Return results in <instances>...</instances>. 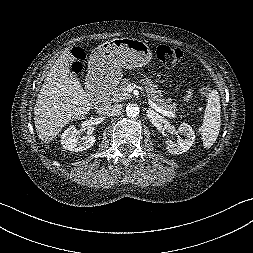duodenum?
I'll use <instances>...</instances> for the list:
<instances>
[{
    "label": "duodenum",
    "mask_w": 253,
    "mask_h": 253,
    "mask_svg": "<svg viewBox=\"0 0 253 253\" xmlns=\"http://www.w3.org/2000/svg\"><path fill=\"white\" fill-rule=\"evenodd\" d=\"M95 96L97 97V102L99 106V111L104 113L109 103V91L107 87L99 86L94 91Z\"/></svg>",
    "instance_id": "duodenum-1"
}]
</instances>
